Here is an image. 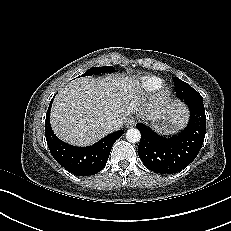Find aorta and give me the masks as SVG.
I'll return each mask as SVG.
<instances>
[{
    "label": "aorta",
    "instance_id": "aorta-1",
    "mask_svg": "<svg viewBox=\"0 0 231 231\" xmlns=\"http://www.w3.org/2000/svg\"><path fill=\"white\" fill-rule=\"evenodd\" d=\"M141 134L140 131L136 128H131L126 132V139L130 143H136L140 141Z\"/></svg>",
    "mask_w": 231,
    "mask_h": 231
}]
</instances>
